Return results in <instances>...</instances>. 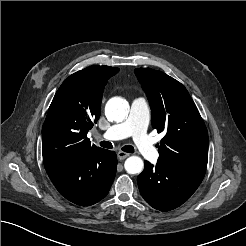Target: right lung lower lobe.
<instances>
[{"label": "right lung lower lobe", "instance_id": "right-lung-lower-lobe-1", "mask_svg": "<svg viewBox=\"0 0 246 246\" xmlns=\"http://www.w3.org/2000/svg\"><path fill=\"white\" fill-rule=\"evenodd\" d=\"M115 152L101 149L75 154L45 165L52 183L69 201L90 206L109 192L116 174Z\"/></svg>", "mask_w": 246, "mask_h": 246}]
</instances>
